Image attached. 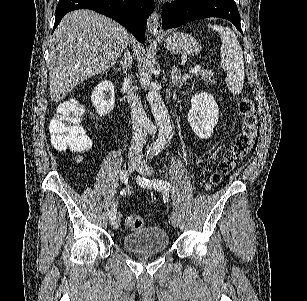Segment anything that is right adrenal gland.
<instances>
[{"label":"right adrenal gland","instance_id":"1","mask_svg":"<svg viewBox=\"0 0 307 301\" xmlns=\"http://www.w3.org/2000/svg\"><path fill=\"white\" fill-rule=\"evenodd\" d=\"M132 60H133V58H132L128 48H126V50L124 52L123 60H118L124 74H126L128 68H131Z\"/></svg>","mask_w":307,"mask_h":301}]
</instances>
